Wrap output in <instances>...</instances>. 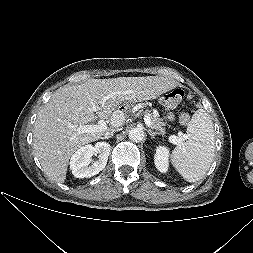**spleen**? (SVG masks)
Returning <instances> with one entry per match:
<instances>
[{"instance_id":"spleen-1","label":"spleen","mask_w":253,"mask_h":253,"mask_svg":"<svg viewBox=\"0 0 253 253\" xmlns=\"http://www.w3.org/2000/svg\"><path fill=\"white\" fill-rule=\"evenodd\" d=\"M185 139L172 151L171 161L186 181L195 182L209 170L215 151L213 123L205 110L194 113Z\"/></svg>"}]
</instances>
